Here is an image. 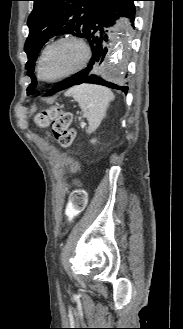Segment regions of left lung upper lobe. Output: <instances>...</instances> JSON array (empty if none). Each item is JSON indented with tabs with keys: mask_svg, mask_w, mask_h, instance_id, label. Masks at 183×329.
<instances>
[{
	"mask_svg": "<svg viewBox=\"0 0 183 329\" xmlns=\"http://www.w3.org/2000/svg\"><path fill=\"white\" fill-rule=\"evenodd\" d=\"M34 8L28 17L29 36L25 42L28 62L25 68L32 82L27 91L33 93L37 81L33 73L38 53L53 36L72 34L85 37L95 15L109 0H32Z\"/></svg>",
	"mask_w": 183,
	"mask_h": 329,
	"instance_id": "left-lung-upper-lobe-1",
	"label": "left lung upper lobe"
}]
</instances>
